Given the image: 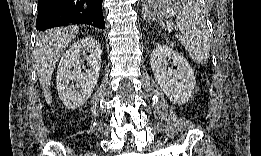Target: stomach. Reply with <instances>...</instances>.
Here are the masks:
<instances>
[{
	"label": "stomach",
	"instance_id": "0dacf381",
	"mask_svg": "<svg viewBox=\"0 0 261 156\" xmlns=\"http://www.w3.org/2000/svg\"><path fill=\"white\" fill-rule=\"evenodd\" d=\"M166 13L165 8L160 2H149L145 3L143 7V14L148 19H156Z\"/></svg>",
	"mask_w": 261,
	"mask_h": 156
}]
</instances>
